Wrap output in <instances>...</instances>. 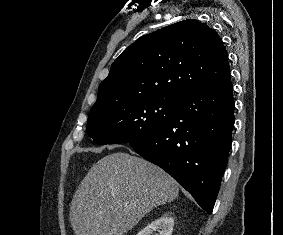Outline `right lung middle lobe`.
<instances>
[{
	"label": "right lung middle lobe",
	"instance_id": "obj_1",
	"mask_svg": "<svg viewBox=\"0 0 283 235\" xmlns=\"http://www.w3.org/2000/svg\"><path fill=\"white\" fill-rule=\"evenodd\" d=\"M176 99L132 97L92 107L87 133L98 145L144 138L162 127L172 115Z\"/></svg>",
	"mask_w": 283,
	"mask_h": 235
}]
</instances>
